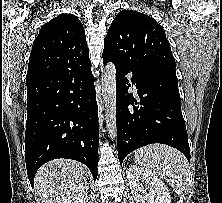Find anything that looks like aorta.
I'll use <instances>...</instances> for the list:
<instances>
[{"label":"aorta","instance_id":"1","mask_svg":"<svg viewBox=\"0 0 222 203\" xmlns=\"http://www.w3.org/2000/svg\"><path fill=\"white\" fill-rule=\"evenodd\" d=\"M102 95L105 105V120L108 134L111 139L117 136L116 124V68L108 63L102 74Z\"/></svg>","mask_w":222,"mask_h":203}]
</instances>
